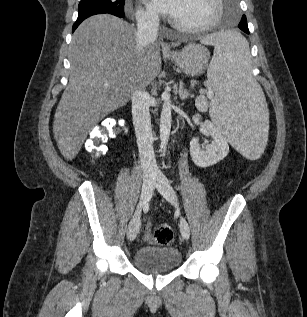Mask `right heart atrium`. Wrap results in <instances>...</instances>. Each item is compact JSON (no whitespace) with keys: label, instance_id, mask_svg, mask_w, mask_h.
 <instances>
[{"label":"right heart atrium","instance_id":"right-heart-atrium-1","mask_svg":"<svg viewBox=\"0 0 307 317\" xmlns=\"http://www.w3.org/2000/svg\"><path fill=\"white\" fill-rule=\"evenodd\" d=\"M136 19L140 25L154 26L158 21V16L151 10L139 8L136 13Z\"/></svg>","mask_w":307,"mask_h":317}]
</instances>
